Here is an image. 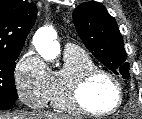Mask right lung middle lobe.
Returning a JSON list of instances; mask_svg holds the SVG:
<instances>
[{
  "mask_svg": "<svg viewBox=\"0 0 142 119\" xmlns=\"http://www.w3.org/2000/svg\"><path fill=\"white\" fill-rule=\"evenodd\" d=\"M18 53L0 55V103H12L18 99L14 82V70Z\"/></svg>",
  "mask_w": 142,
  "mask_h": 119,
  "instance_id": "obj_1",
  "label": "right lung middle lobe"
}]
</instances>
